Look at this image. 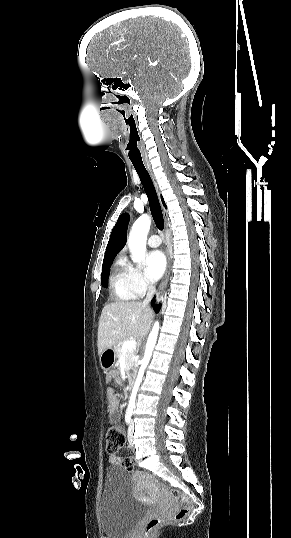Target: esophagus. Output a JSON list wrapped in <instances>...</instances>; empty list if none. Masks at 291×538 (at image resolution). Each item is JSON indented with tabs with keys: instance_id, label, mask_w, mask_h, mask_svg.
<instances>
[{
	"instance_id": "1",
	"label": "esophagus",
	"mask_w": 291,
	"mask_h": 538,
	"mask_svg": "<svg viewBox=\"0 0 291 538\" xmlns=\"http://www.w3.org/2000/svg\"><path fill=\"white\" fill-rule=\"evenodd\" d=\"M146 168H147V171L152 179V182L157 190V192H159L158 190V183H157V180L155 178V175H154V172L151 168V166L149 164L146 165ZM163 216H164V220H165V231L167 233V225H168V217H167V213L165 211H163ZM166 245H167V248H166V258H167V267H166V271H165V274H164V277L160 283V286L157 290V293H156V298L159 299L167 285V281H168V278H169V274H170V267H171V251H170V247H169V243H168V240H167V236H166Z\"/></svg>"
}]
</instances>
